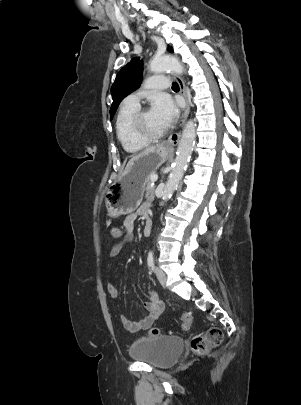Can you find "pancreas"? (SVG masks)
<instances>
[{
    "label": "pancreas",
    "instance_id": "obj_1",
    "mask_svg": "<svg viewBox=\"0 0 301 405\" xmlns=\"http://www.w3.org/2000/svg\"><path fill=\"white\" fill-rule=\"evenodd\" d=\"M151 176H150L149 181L146 186L145 198L147 199V201H153L155 198V194H154L155 188L152 186Z\"/></svg>",
    "mask_w": 301,
    "mask_h": 405
}]
</instances>
